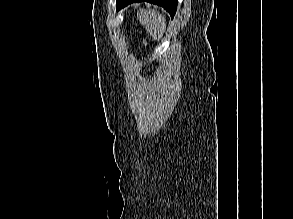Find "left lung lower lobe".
Returning a JSON list of instances; mask_svg holds the SVG:
<instances>
[{"label":"left lung lower lobe","mask_w":293,"mask_h":219,"mask_svg":"<svg viewBox=\"0 0 293 219\" xmlns=\"http://www.w3.org/2000/svg\"><path fill=\"white\" fill-rule=\"evenodd\" d=\"M143 1L162 6L166 11L169 12L172 18L174 17L176 13L177 0H117L116 7H117V10H119L130 3L143 2Z\"/></svg>","instance_id":"0a47b994"}]
</instances>
